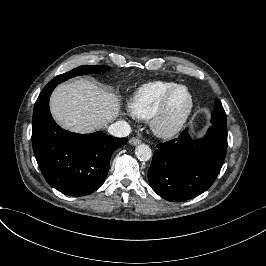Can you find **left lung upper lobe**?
<instances>
[{"label": "left lung upper lobe", "mask_w": 266, "mask_h": 266, "mask_svg": "<svg viewBox=\"0 0 266 266\" xmlns=\"http://www.w3.org/2000/svg\"><path fill=\"white\" fill-rule=\"evenodd\" d=\"M211 123L212 125L225 127V128L227 127L226 114L221 102L218 99L215 100Z\"/></svg>", "instance_id": "1"}]
</instances>
